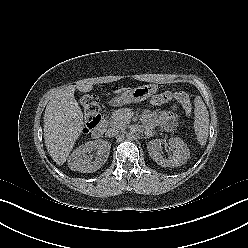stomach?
Returning a JSON list of instances; mask_svg holds the SVG:
<instances>
[{"label": "stomach", "instance_id": "obj_1", "mask_svg": "<svg viewBox=\"0 0 248 248\" xmlns=\"http://www.w3.org/2000/svg\"><path fill=\"white\" fill-rule=\"evenodd\" d=\"M158 90L156 84H148L124 91L111 100L113 106H122L129 103H137L146 100Z\"/></svg>", "mask_w": 248, "mask_h": 248}]
</instances>
